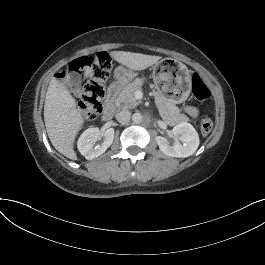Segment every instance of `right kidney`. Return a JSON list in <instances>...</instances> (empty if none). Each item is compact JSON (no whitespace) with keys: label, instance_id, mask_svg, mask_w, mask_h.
I'll return each mask as SVG.
<instances>
[{"label":"right kidney","instance_id":"ca27d5eb","mask_svg":"<svg viewBox=\"0 0 265 265\" xmlns=\"http://www.w3.org/2000/svg\"><path fill=\"white\" fill-rule=\"evenodd\" d=\"M114 134V128H108L104 132H101L99 128H90L81 135L78 149L86 159L93 160L104 154L112 145ZM101 137H104L103 143L94 146V143Z\"/></svg>","mask_w":265,"mask_h":265}]
</instances>
